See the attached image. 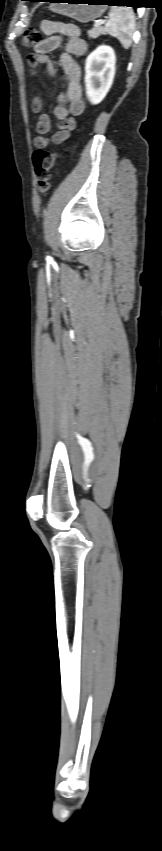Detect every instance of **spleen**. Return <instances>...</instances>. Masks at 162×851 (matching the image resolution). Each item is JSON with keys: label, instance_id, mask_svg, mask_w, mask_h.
I'll list each match as a JSON object with an SVG mask.
<instances>
[{"label": "spleen", "instance_id": "3e777b00", "mask_svg": "<svg viewBox=\"0 0 162 851\" xmlns=\"http://www.w3.org/2000/svg\"><path fill=\"white\" fill-rule=\"evenodd\" d=\"M135 29L134 13L131 8L111 7L109 20L105 24V32L116 37L125 49L132 43V34Z\"/></svg>", "mask_w": 162, "mask_h": 851}]
</instances>
